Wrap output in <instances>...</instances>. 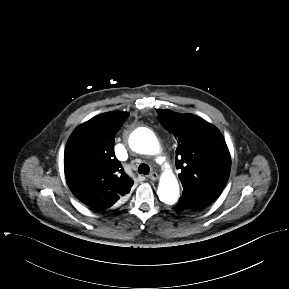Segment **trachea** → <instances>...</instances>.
Wrapping results in <instances>:
<instances>
[{
	"label": "trachea",
	"instance_id": "obj_1",
	"mask_svg": "<svg viewBox=\"0 0 289 289\" xmlns=\"http://www.w3.org/2000/svg\"><path fill=\"white\" fill-rule=\"evenodd\" d=\"M149 172H150V167L147 164L142 163L139 165V167H138V173L139 174L147 175V174H149Z\"/></svg>",
	"mask_w": 289,
	"mask_h": 289
}]
</instances>
